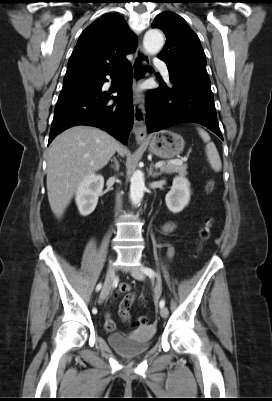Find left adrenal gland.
I'll return each instance as SVG.
<instances>
[{
	"mask_svg": "<svg viewBox=\"0 0 272 401\" xmlns=\"http://www.w3.org/2000/svg\"><path fill=\"white\" fill-rule=\"evenodd\" d=\"M161 172H153V164L150 165L149 175L153 178L160 176Z\"/></svg>",
	"mask_w": 272,
	"mask_h": 401,
	"instance_id": "obj_1",
	"label": "left adrenal gland"
}]
</instances>
